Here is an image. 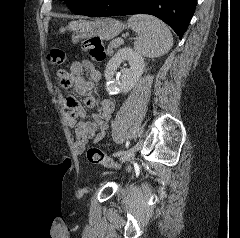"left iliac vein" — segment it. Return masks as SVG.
Returning <instances> with one entry per match:
<instances>
[{"instance_id":"obj_1","label":"left iliac vein","mask_w":240,"mask_h":238,"mask_svg":"<svg viewBox=\"0 0 240 238\" xmlns=\"http://www.w3.org/2000/svg\"><path fill=\"white\" fill-rule=\"evenodd\" d=\"M140 148V145L136 147L135 150H133L129 155H122L121 158H120V161L121 162H127V161H130L134 158L136 152L139 150Z\"/></svg>"}]
</instances>
